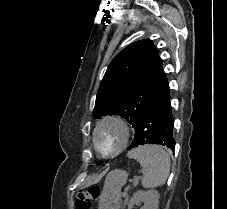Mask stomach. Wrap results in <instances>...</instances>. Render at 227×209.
<instances>
[{
    "label": "stomach",
    "instance_id": "1",
    "mask_svg": "<svg viewBox=\"0 0 227 209\" xmlns=\"http://www.w3.org/2000/svg\"><path fill=\"white\" fill-rule=\"evenodd\" d=\"M128 179L124 170L116 169L105 178L103 191L99 200V209H119L121 206L120 192Z\"/></svg>",
    "mask_w": 227,
    "mask_h": 209
}]
</instances>
